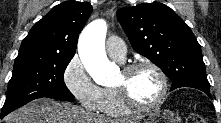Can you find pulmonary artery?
<instances>
[{"label":"pulmonary artery","mask_w":221,"mask_h":123,"mask_svg":"<svg viewBox=\"0 0 221 123\" xmlns=\"http://www.w3.org/2000/svg\"><path fill=\"white\" fill-rule=\"evenodd\" d=\"M106 51L112 59L118 61H123L126 55L125 44L122 39L117 36H111L107 39Z\"/></svg>","instance_id":"e3ab8cb5"}]
</instances>
